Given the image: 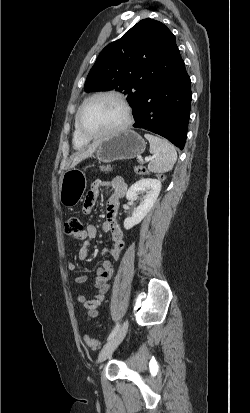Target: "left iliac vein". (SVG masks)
<instances>
[{
  "label": "left iliac vein",
  "instance_id": "left-iliac-vein-1",
  "mask_svg": "<svg viewBox=\"0 0 250 413\" xmlns=\"http://www.w3.org/2000/svg\"><path fill=\"white\" fill-rule=\"evenodd\" d=\"M127 330H128V321L126 320L122 324L121 328L117 331L115 336L113 338H111L106 343V345L103 347V349L100 351L99 358H98L99 362H103L104 360H106L107 358H109L112 355L114 350L118 347V345L124 339V337L127 333Z\"/></svg>",
  "mask_w": 250,
  "mask_h": 413
}]
</instances>
